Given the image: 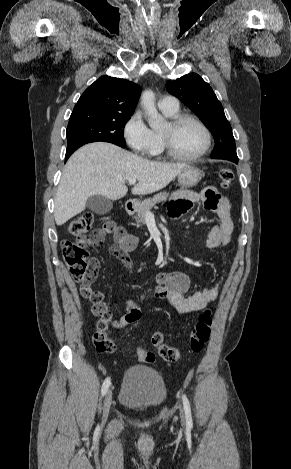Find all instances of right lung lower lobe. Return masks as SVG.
I'll return each mask as SVG.
<instances>
[{
    "label": "right lung lower lobe",
    "instance_id": "obj_1",
    "mask_svg": "<svg viewBox=\"0 0 291 469\" xmlns=\"http://www.w3.org/2000/svg\"><path fill=\"white\" fill-rule=\"evenodd\" d=\"M82 145H84V144H75V145H70V146H68L67 149H66L65 162H66L67 159L71 156V154H72L76 149H78L79 147H81Z\"/></svg>",
    "mask_w": 291,
    "mask_h": 469
}]
</instances>
